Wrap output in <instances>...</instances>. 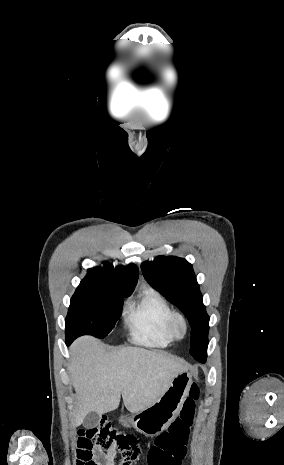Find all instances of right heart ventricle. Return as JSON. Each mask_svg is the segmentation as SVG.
I'll list each match as a JSON object with an SVG mask.
<instances>
[{
    "mask_svg": "<svg viewBox=\"0 0 284 465\" xmlns=\"http://www.w3.org/2000/svg\"><path fill=\"white\" fill-rule=\"evenodd\" d=\"M174 310L156 289L146 288L124 313V327L130 340L142 346H170L168 321Z\"/></svg>",
    "mask_w": 284,
    "mask_h": 465,
    "instance_id": "1",
    "label": "right heart ventricle"
}]
</instances>
